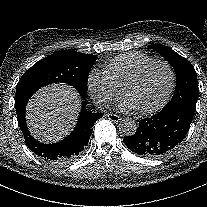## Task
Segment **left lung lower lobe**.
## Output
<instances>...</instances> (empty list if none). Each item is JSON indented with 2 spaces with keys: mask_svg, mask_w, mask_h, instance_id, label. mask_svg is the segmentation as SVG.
<instances>
[{
  "mask_svg": "<svg viewBox=\"0 0 207 207\" xmlns=\"http://www.w3.org/2000/svg\"><path fill=\"white\" fill-rule=\"evenodd\" d=\"M193 114L181 107L161 110L140 120L136 133L125 137L124 143L144 157L157 158L168 154L185 138Z\"/></svg>",
  "mask_w": 207,
  "mask_h": 207,
  "instance_id": "1",
  "label": "left lung lower lobe"
}]
</instances>
